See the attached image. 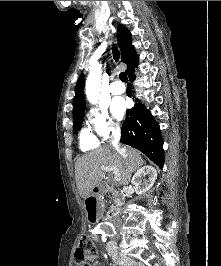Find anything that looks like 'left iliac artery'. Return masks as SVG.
<instances>
[{"label":"left iliac artery","instance_id":"obj_1","mask_svg":"<svg viewBox=\"0 0 221 266\" xmlns=\"http://www.w3.org/2000/svg\"><path fill=\"white\" fill-rule=\"evenodd\" d=\"M102 240H103V242H105V240H106L105 235H103Z\"/></svg>","mask_w":221,"mask_h":266}]
</instances>
